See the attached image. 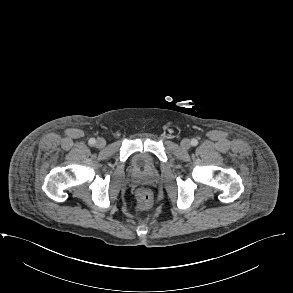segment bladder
<instances>
[{"label":"bladder","instance_id":"31cf9c89","mask_svg":"<svg viewBox=\"0 0 293 293\" xmlns=\"http://www.w3.org/2000/svg\"><path fill=\"white\" fill-rule=\"evenodd\" d=\"M132 164L134 168L146 175H152L157 170V164L145 153H138L133 157Z\"/></svg>","mask_w":293,"mask_h":293}]
</instances>
